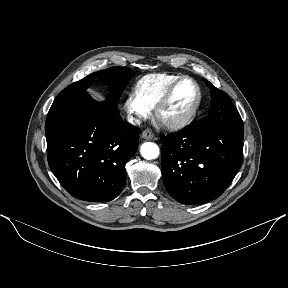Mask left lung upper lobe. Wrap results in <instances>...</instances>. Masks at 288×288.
<instances>
[{"label": "left lung upper lobe", "mask_w": 288, "mask_h": 288, "mask_svg": "<svg viewBox=\"0 0 288 288\" xmlns=\"http://www.w3.org/2000/svg\"><path fill=\"white\" fill-rule=\"evenodd\" d=\"M211 89V107L208 116L202 118V123L224 128L244 136V125L241 116L229 96L203 79Z\"/></svg>", "instance_id": "obj_1"}]
</instances>
